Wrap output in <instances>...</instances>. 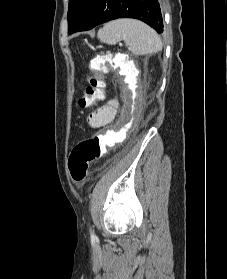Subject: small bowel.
<instances>
[{"label":"small bowel","mask_w":227,"mask_h":279,"mask_svg":"<svg viewBox=\"0 0 227 279\" xmlns=\"http://www.w3.org/2000/svg\"><path fill=\"white\" fill-rule=\"evenodd\" d=\"M118 107V99L111 98L104 106L88 116L87 123L93 128H100L110 124L117 113Z\"/></svg>","instance_id":"obj_1"}]
</instances>
